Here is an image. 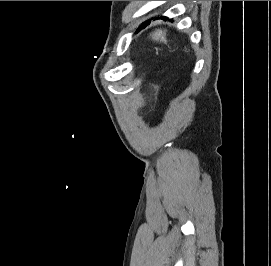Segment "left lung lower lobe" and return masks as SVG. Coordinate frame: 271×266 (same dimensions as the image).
I'll use <instances>...</instances> for the list:
<instances>
[{
  "mask_svg": "<svg viewBox=\"0 0 271 266\" xmlns=\"http://www.w3.org/2000/svg\"><path fill=\"white\" fill-rule=\"evenodd\" d=\"M163 18H164V19H167L166 17H163ZM149 23H150V20L144 22V23L139 27V30L142 29L143 27H145L146 25H148Z\"/></svg>",
  "mask_w": 271,
  "mask_h": 266,
  "instance_id": "left-lung-lower-lobe-1",
  "label": "left lung lower lobe"
}]
</instances>
